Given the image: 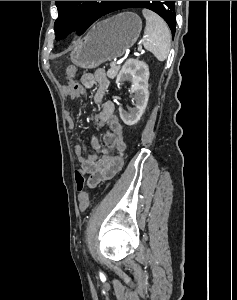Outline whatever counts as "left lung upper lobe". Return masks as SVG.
<instances>
[{"mask_svg":"<svg viewBox=\"0 0 237 300\" xmlns=\"http://www.w3.org/2000/svg\"><path fill=\"white\" fill-rule=\"evenodd\" d=\"M58 18L54 29L56 39L65 38L71 31L78 28V34H83L97 19L106 15V10L112 1H55ZM120 9L147 8L160 15L168 24L172 35L176 30L175 1H122Z\"/></svg>","mask_w":237,"mask_h":300,"instance_id":"left-lung-upper-lobe-1","label":"left lung upper lobe"}]
</instances>
